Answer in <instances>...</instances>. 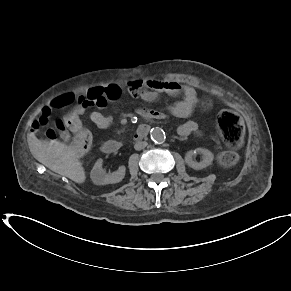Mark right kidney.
I'll return each mask as SVG.
<instances>
[{
	"label": "right kidney",
	"instance_id": "obj_1",
	"mask_svg": "<svg viewBox=\"0 0 291 291\" xmlns=\"http://www.w3.org/2000/svg\"><path fill=\"white\" fill-rule=\"evenodd\" d=\"M103 160L98 159L93 169L91 170L90 177L96 185L114 184L123 180L126 172L125 166H120L117 171L106 173L102 168Z\"/></svg>",
	"mask_w": 291,
	"mask_h": 291
}]
</instances>
